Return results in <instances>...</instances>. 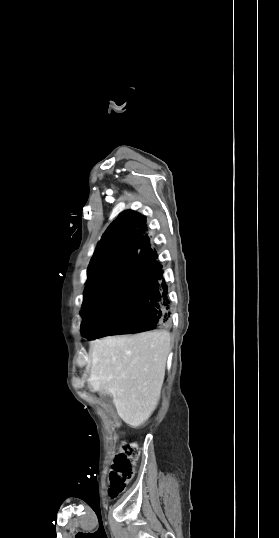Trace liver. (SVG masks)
Returning a JSON list of instances; mask_svg holds the SVG:
<instances>
[{
	"instance_id": "6515ba94",
	"label": "liver",
	"mask_w": 279,
	"mask_h": 538,
	"mask_svg": "<svg viewBox=\"0 0 279 538\" xmlns=\"http://www.w3.org/2000/svg\"><path fill=\"white\" fill-rule=\"evenodd\" d=\"M170 344L167 330L93 342L90 382L112 396L118 416L133 428L150 418L160 400Z\"/></svg>"
}]
</instances>
